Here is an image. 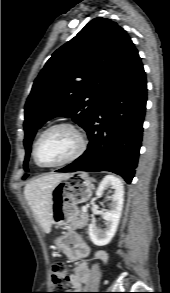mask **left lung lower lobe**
Segmentation results:
<instances>
[{
  "label": "left lung lower lobe",
  "instance_id": "obj_1",
  "mask_svg": "<svg viewBox=\"0 0 170 293\" xmlns=\"http://www.w3.org/2000/svg\"><path fill=\"white\" fill-rule=\"evenodd\" d=\"M146 77L134 47L111 79L86 132V152L57 172L110 171L130 184L138 163L146 109Z\"/></svg>",
  "mask_w": 170,
  "mask_h": 293
}]
</instances>
